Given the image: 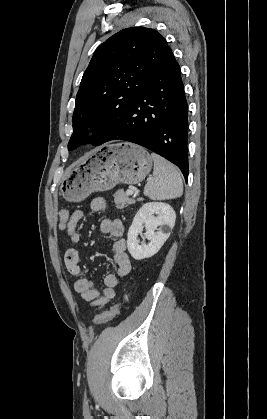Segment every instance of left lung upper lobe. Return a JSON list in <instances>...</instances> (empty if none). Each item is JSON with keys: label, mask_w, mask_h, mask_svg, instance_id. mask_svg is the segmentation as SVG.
Returning a JSON list of instances; mask_svg holds the SVG:
<instances>
[{"label": "left lung upper lobe", "mask_w": 267, "mask_h": 419, "mask_svg": "<svg viewBox=\"0 0 267 419\" xmlns=\"http://www.w3.org/2000/svg\"><path fill=\"white\" fill-rule=\"evenodd\" d=\"M169 47L154 29L126 28L102 43L83 74L73 113V134L68 149L82 143V135L94 124L98 133L117 123L146 89L150 75L163 62Z\"/></svg>", "instance_id": "5c2ea615"}]
</instances>
